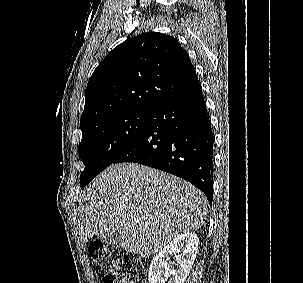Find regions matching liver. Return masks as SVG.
Returning a JSON list of instances; mask_svg holds the SVG:
<instances>
[{
    "mask_svg": "<svg viewBox=\"0 0 303 283\" xmlns=\"http://www.w3.org/2000/svg\"><path fill=\"white\" fill-rule=\"evenodd\" d=\"M81 243L94 235L119 234L125 251L148 257L174 237L200 228L205 195L190 183L147 166L120 163L101 172L77 195Z\"/></svg>",
    "mask_w": 303,
    "mask_h": 283,
    "instance_id": "6515ba94",
    "label": "liver"
}]
</instances>
